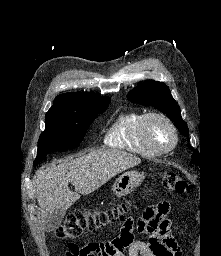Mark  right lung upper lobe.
<instances>
[{
    "label": "right lung upper lobe",
    "mask_w": 221,
    "mask_h": 256,
    "mask_svg": "<svg viewBox=\"0 0 221 256\" xmlns=\"http://www.w3.org/2000/svg\"><path fill=\"white\" fill-rule=\"evenodd\" d=\"M97 99H109V97H101L85 92H71L58 95L53 106L47 113H68L75 112L81 105L95 101Z\"/></svg>",
    "instance_id": "cb5924a9"
}]
</instances>
